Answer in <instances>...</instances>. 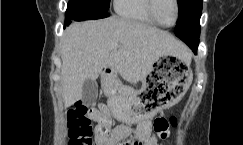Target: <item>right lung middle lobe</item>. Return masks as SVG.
Instances as JSON below:
<instances>
[{
	"mask_svg": "<svg viewBox=\"0 0 243 145\" xmlns=\"http://www.w3.org/2000/svg\"><path fill=\"white\" fill-rule=\"evenodd\" d=\"M71 4H88L102 11H108L110 7V0H70Z\"/></svg>",
	"mask_w": 243,
	"mask_h": 145,
	"instance_id": "right-lung-middle-lobe-1",
	"label": "right lung middle lobe"
}]
</instances>
